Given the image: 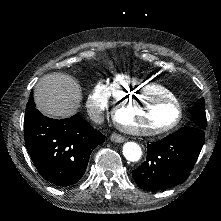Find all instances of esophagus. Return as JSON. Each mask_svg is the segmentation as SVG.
<instances>
[{"mask_svg":"<svg viewBox=\"0 0 221 221\" xmlns=\"http://www.w3.org/2000/svg\"><path fill=\"white\" fill-rule=\"evenodd\" d=\"M111 141L116 142V143H123L125 141V138L122 137L121 135H118L116 133H113L110 136Z\"/></svg>","mask_w":221,"mask_h":221,"instance_id":"1","label":"esophagus"}]
</instances>
